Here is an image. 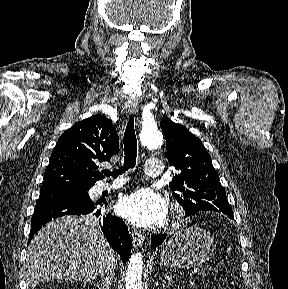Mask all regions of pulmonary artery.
I'll return each instance as SVG.
<instances>
[{
    "label": "pulmonary artery",
    "instance_id": "pulmonary-artery-1",
    "mask_svg": "<svg viewBox=\"0 0 288 289\" xmlns=\"http://www.w3.org/2000/svg\"><path fill=\"white\" fill-rule=\"evenodd\" d=\"M162 162L157 158H149L144 165L145 174L149 177H160L162 175ZM124 183V180H117L113 184H101L97 187V192L100 193L104 190H113L118 188Z\"/></svg>",
    "mask_w": 288,
    "mask_h": 289
}]
</instances>
